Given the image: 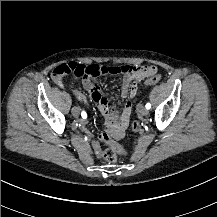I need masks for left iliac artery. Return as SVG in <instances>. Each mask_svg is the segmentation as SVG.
<instances>
[{"instance_id":"left-iliac-artery-1","label":"left iliac artery","mask_w":217,"mask_h":217,"mask_svg":"<svg viewBox=\"0 0 217 217\" xmlns=\"http://www.w3.org/2000/svg\"><path fill=\"white\" fill-rule=\"evenodd\" d=\"M145 107H146L147 109H150V108H151V104H150V103H147V104L145 105Z\"/></svg>"}]
</instances>
